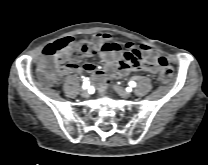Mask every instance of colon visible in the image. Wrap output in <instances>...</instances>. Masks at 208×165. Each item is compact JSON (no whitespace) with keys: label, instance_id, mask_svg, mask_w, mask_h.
<instances>
[{"label":"colon","instance_id":"5ec220e1","mask_svg":"<svg viewBox=\"0 0 208 165\" xmlns=\"http://www.w3.org/2000/svg\"><path fill=\"white\" fill-rule=\"evenodd\" d=\"M94 50L90 42L65 37L48 45L43 50L39 60L38 74L46 83L53 84L58 77V64L64 61H73L74 63ZM127 59H132L131 54H126ZM158 64L160 72L158 80L161 84H169L174 75L172 67L165 58H159Z\"/></svg>","mask_w":208,"mask_h":165}]
</instances>
